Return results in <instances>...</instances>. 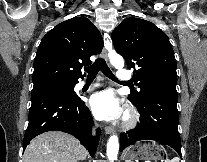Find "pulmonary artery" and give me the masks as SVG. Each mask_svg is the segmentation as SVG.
<instances>
[{"mask_svg":"<svg viewBox=\"0 0 207 162\" xmlns=\"http://www.w3.org/2000/svg\"><path fill=\"white\" fill-rule=\"evenodd\" d=\"M117 77L120 80V82H122L124 84H127V80L130 78V74L129 73H125L123 71H118L117 72ZM84 86H86L85 82H80L78 84V88L79 89H82ZM98 86H99V83H93V84L90 85V87H98Z\"/></svg>","mask_w":207,"mask_h":162,"instance_id":"1","label":"pulmonary artery"}]
</instances>
